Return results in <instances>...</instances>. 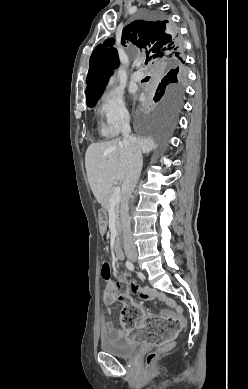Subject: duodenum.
Returning a JSON list of instances; mask_svg holds the SVG:
<instances>
[{
  "mask_svg": "<svg viewBox=\"0 0 248 389\" xmlns=\"http://www.w3.org/2000/svg\"><path fill=\"white\" fill-rule=\"evenodd\" d=\"M114 252L117 259L122 260L124 258V253L119 240H117L115 243Z\"/></svg>",
  "mask_w": 248,
  "mask_h": 389,
  "instance_id": "obj_1",
  "label": "duodenum"
}]
</instances>
